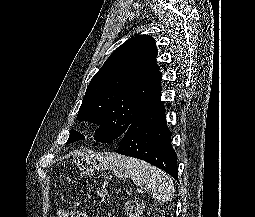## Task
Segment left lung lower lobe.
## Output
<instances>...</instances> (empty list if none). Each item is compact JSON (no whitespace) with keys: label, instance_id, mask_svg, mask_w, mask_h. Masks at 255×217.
Returning <instances> with one entry per match:
<instances>
[{"label":"left lung lower lobe","instance_id":"left-lung-lower-lobe-1","mask_svg":"<svg viewBox=\"0 0 255 217\" xmlns=\"http://www.w3.org/2000/svg\"><path fill=\"white\" fill-rule=\"evenodd\" d=\"M115 152L144 160L178 181L177 155L160 96L131 124Z\"/></svg>","mask_w":255,"mask_h":217}]
</instances>
